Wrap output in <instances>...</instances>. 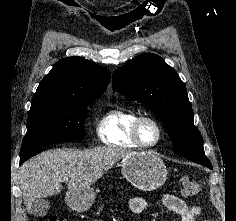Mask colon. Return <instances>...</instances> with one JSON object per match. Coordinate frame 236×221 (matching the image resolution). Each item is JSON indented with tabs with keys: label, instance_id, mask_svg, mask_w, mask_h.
Listing matches in <instances>:
<instances>
[{
	"label": "colon",
	"instance_id": "1",
	"mask_svg": "<svg viewBox=\"0 0 236 221\" xmlns=\"http://www.w3.org/2000/svg\"><path fill=\"white\" fill-rule=\"evenodd\" d=\"M181 193L185 197H193L199 194L200 187L197 181L190 176H183L180 178ZM47 221H66L57 216L50 217Z\"/></svg>",
	"mask_w": 236,
	"mask_h": 221
}]
</instances>
